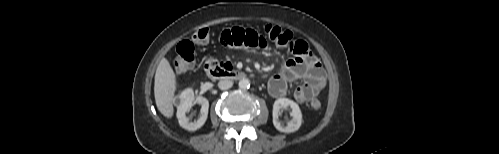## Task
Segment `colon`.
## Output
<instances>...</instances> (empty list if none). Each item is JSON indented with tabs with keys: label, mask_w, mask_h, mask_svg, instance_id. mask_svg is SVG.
<instances>
[{
	"label": "colon",
	"mask_w": 499,
	"mask_h": 154,
	"mask_svg": "<svg viewBox=\"0 0 499 154\" xmlns=\"http://www.w3.org/2000/svg\"><path fill=\"white\" fill-rule=\"evenodd\" d=\"M265 35L278 46H286L292 40V33L290 31L271 24L265 27ZM208 37V29H201L178 44L176 55L173 60V67L176 72L183 73L194 66V43L204 42ZM206 67L213 69L222 68L220 64L214 61L209 62ZM310 105L314 110H319L321 108V102L316 98L311 101Z\"/></svg>",
	"instance_id": "1"
}]
</instances>
